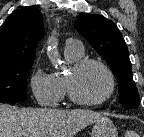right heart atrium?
<instances>
[{
    "instance_id": "d8ad5b80",
    "label": "right heart atrium",
    "mask_w": 144,
    "mask_h": 137,
    "mask_svg": "<svg viewBox=\"0 0 144 137\" xmlns=\"http://www.w3.org/2000/svg\"><path fill=\"white\" fill-rule=\"evenodd\" d=\"M29 89L38 104L45 107L56 106L61 100L56 80L52 73L36 65L28 76Z\"/></svg>"
}]
</instances>
